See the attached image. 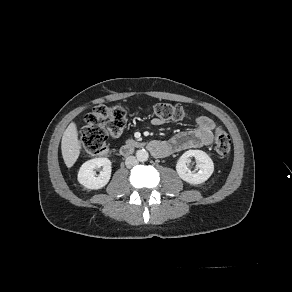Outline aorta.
<instances>
[{
    "instance_id": "1",
    "label": "aorta",
    "mask_w": 292,
    "mask_h": 292,
    "mask_svg": "<svg viewBox=\"0 0 292 292\" xmlns=\"http://www.w3.org/2000/svg\"><path fill=\"white\" fill-rule=\"evenodd\" d=\"M136 157H137L138 161L145 162L148 160L149 154L145 149H140L136 152Z\"/></svg>"
}]
</instances>
